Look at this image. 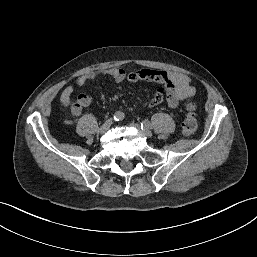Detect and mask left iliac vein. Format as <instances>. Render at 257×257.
Wrapping results in <instances>:
<instances>
[{
    "label": "left iliac vein",
    "mask_w": 257,
    "mask_h": 257,
    "mask_svg": "<svg viewBox=\"0 0 257 257\" xmlns=\"http://www.w3.org/2000/svg\"><path fill=\"white\" fill-rule=\"evenodd\" d=\"M134 128H136L137 130L141 131L142 134L148 138H150L152 136V132L149 129H141L140 125L138 124H131Z\"/></svg>",
    "instance_id": "4c4485c4"
}]
</instances>
